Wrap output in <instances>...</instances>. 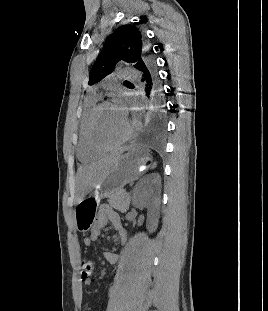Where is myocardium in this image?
<instances>
[{
    "mask_svg": "<svg viewBox=\"0 0 268 311\" xmlns=\"http://www.w3.org/2000/svg\"><path fill=\"white\" fill-rule=\"evenodd\" d=\"M109 105H112L109 101H102V102L98 103L93 108V110L91 111V113L87 119V122H86V137H87L88 144L90 145V147L93 150H95L99 153L109 151V150H112V149H115V148L121 146L131 136L132 128H131L130 123L128 121H126V124H127L126 131H125L124 135L117 142L110 144V145H102V144L97 142V140L95 139V136H94V122H95V119H96L98 113L104 107L109 106Z\"/></svg>",
    "mask_w": 268,
    "mask_h": 311,
    "instance_id": "obj_1",
    "label": "myocardium"
}]
</instances>
